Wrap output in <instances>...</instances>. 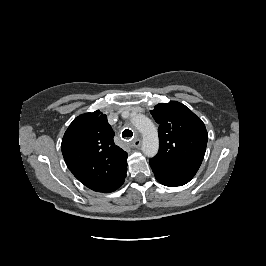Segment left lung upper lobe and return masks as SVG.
Wrapping results in <instances>:
<instances>
[{
	"instance_id": "1",
	"label": "left lung upper lobe",
	"mask_w": 266,
	"mask_h": 266,
	"mask_svg": "<svg viewBox=\"0 0 266 266\" xmlns=\"http://www.w3.org/2000/svg\"><path fill=\"white\" fill-rule=\"evenodd\" d=\"M159 124V151L149 160L156 179L170 187L188 183L205 155L208 133L202 120L177 101L150 111Z\"/></svg>"
}]
</instances>
